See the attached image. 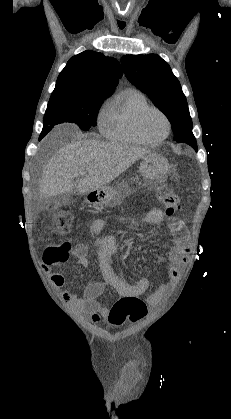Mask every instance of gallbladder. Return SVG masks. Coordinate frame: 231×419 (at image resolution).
<instances>
[{
    "mask_svg": "<svg viewBox=\"0 0 231 419\" xmlns=\"http://www.w3.org/2000/svg\"><path fill=\"white\" fill-rule=\"evenodd\" d=\"M57 199L58 200L55 203H57V204H67L69 202V195H68V193H64L62 195H59L57 197Z\"/></svg>",
    "mask_w": 231,
    "mask_h": 419,
    "instance_id": "bac80fb5",
    "label": "gallbladder"
}]
</instances>
